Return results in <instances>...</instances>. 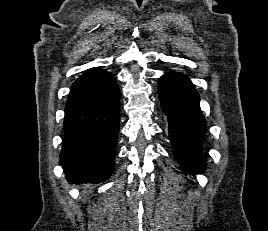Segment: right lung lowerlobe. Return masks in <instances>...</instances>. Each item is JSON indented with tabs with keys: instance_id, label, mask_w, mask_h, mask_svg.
Instances as JSON below:
<instances>
[{
	"instance_id": "obj_1",
	"label": "right lung lower lobe",
	"mask_w": 268,
	"mask_h": 231,
	"mask_svg": "<svg viewBox=\"0 0 268 231\" xmlns=\"http://www.w3.org/2000/svg\"><path fill=\"white\" fill-rule=\"evenodd\" d=\"M120 122V93L115 77L91 68L73 84L64 117L60 153L69 183H99L113 168Z\"/></svg>"
}]
</instances>
